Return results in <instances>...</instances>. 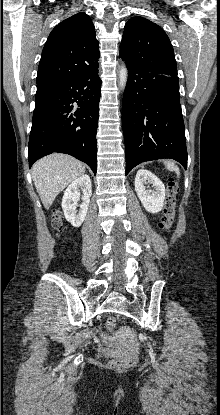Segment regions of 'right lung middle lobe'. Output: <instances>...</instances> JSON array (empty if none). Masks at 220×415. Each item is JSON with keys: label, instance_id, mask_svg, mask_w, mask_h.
<instances>
[{"label": "right lung middle lobe", "instance_id": "obj_1", "mask_svg": "<svg viewBox=\"0 0 220 415\" xmlns=\"http://www.w3.org/2000/svg\"><path fill=\"white\" fill-rule=\"evenodd\" d=\"M53 88H54V86H38L36 96L41 95L43 93H46V92L52 90Z\"/></svg>", "mask_w": 220, "mask_h": 415}]
</instances>
